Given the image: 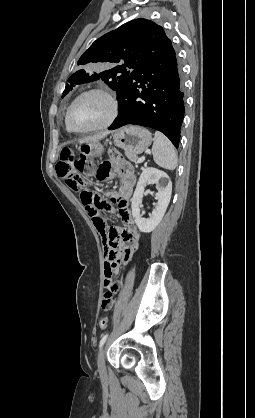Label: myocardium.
I'll return each mask as SVG.
<instances>
[{"label":"myocardium","instance_id":"myocardium-1","mask_svg":"<svg viewBox=\"0 0 255 418\" xmlns=\"http://www.w3.org/2000/svg\"><path fill=\"white\" fill-rule=\"evenodd\" d=\"M89 94H100L108 100V102L110 104L109 115L106 118V120L99 125H96V126H93V127H90V128H86V129L74 128L72 126L71 122H70V116H71L72 109L75 106V104L81 98H83L84 96L89 95ZM118 109H119L118 108V102H117L116 98L114 97V95L110 91H108L106 89H103V88H90V89H87V90L81 92L71 102V104L69 105V107L67 109L66 115H65V124L71 132L79 133V134L101 131V130H104V129L110 127L113 124V122L115 121V119L118 115Z\"/></svg>","mask_w":255,"mask_h":418}]
</instances>
